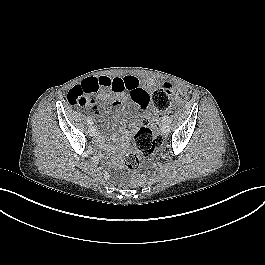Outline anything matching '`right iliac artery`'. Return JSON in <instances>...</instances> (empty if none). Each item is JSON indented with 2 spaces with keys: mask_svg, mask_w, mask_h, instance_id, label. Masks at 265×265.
Returning <instances> with one entry per match:
<instances>
[{
  "mask_svg": "<svg viewBox=\"0 0 265 265\" xmlns=\"http://www.w3.org/2000/svg\"><path fill=\"white\" fill-rule=\"evenodd\" d=\"M87 123H88L89 126H91L92 123H93V122H92V119L88 117V118H87Z\"/></svg>",
  "mask_w": 265,
  "mask_h": 265,
  "instance_id": "82829eb1",
  "label": "right iliac artery"
}]
</instances>
